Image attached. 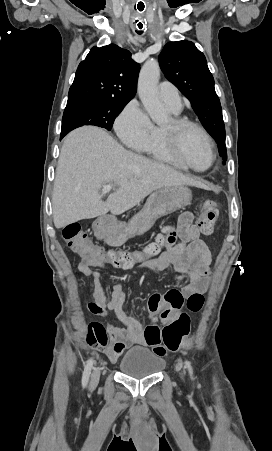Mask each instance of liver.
<instances>
[{
    "label": "liver",
    "instance_id": "6515ba94",
    "mask_svg": "<svg viewBox=\"0 0 272 451\" xmlns=\"http://www.w3.org/2000/svg\"><path fill=\"white\" fill-rule=\"evenodd\" d=\"M109 182L119 188L102 202L100 188ZM165 186L201 188L202 182L127 152L103 128H77L66 136L56 168L52 194L54 226L105 216L107 212L119 216Z\"/></svg>",
    "mask_w": 272,
    "mask_h": 451
}]
</instances>
